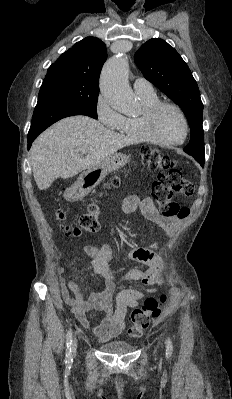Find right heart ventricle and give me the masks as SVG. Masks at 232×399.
Wrapping results in <instances>:
<instances>
[{
	"mask_svg": "<svg viewBox=\"0 0 232 399\" xmlns=\"http://www.w3.org/2000/svg\"><path fill=\"white\" fill-rule=\"evenodd\" d=\"M141 103L144 112L146 108L160 103V100L155 94L152 96H141ZM142 114L138 117L123 116L115 130L123 139L132 143L163 146L146 133L141 121Z\"/></svg>",
	"mask_w": 232,
	"mask_h": 399,
	"instance_id": "1",
	"label": "right heart ventricle"
}]
</instances>
